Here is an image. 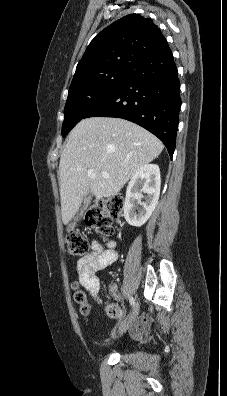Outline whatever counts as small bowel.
Here are the masks:
<instances>
[{
	"instance_id": "c3829d8e",
	"label": "small bowel",
	"mask_w": 227,
	"mask_h": 396,
	"mask_svg": "<svg viewBox=\"0 0 227 396\" xmlns=\"http://www.w3.org/2000/svg\"><path fill=\"white\" fill-rule=\"evenodd\" d=\"M118 258V251L115 249L114 242H110L106 249L97 243H92V253L81 258L77 263V271L80 283L91 293V295L99 302L97 297L100 289L99 278L97 272L112 265ZM110 294L115 299H120L118 287L113 284L110 286ZM124 312L120 308H116L117 318H122ZM146 317H140L133 321L130 326L131 333L135 336L140 335L147 324Z\"/></svg>"
}]
</instances>
